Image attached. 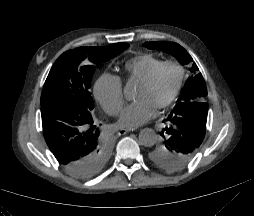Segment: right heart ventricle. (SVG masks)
Returning <instances> with one entry per match:
<instances>
[{
    "label": "right heart ventricle",
    "mask_w": 254,
    "mask_h": 216,
    "mask_svg": "<svg viewBox=\"0 0 254 216\" xmlns=\"http://www.w3.org/2000/svg\"><path fill=\"white\" fill-rule=\"evenodd\" d=\"M162 62V59L150 54L138 55L125 64L126 80L141 82Z\"/></svg>",
    "instance_id": "e07e8e85"
}]
</instances>
